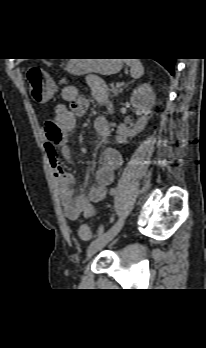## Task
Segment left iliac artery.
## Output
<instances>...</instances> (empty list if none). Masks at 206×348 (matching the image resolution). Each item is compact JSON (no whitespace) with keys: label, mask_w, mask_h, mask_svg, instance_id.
I'll use <instances>...</instances> for the list:
<instances>
[{"label":"left iliac artery","mask_w":206,"mask_h":348,"mask_svg":"<svg viewBox=\"0 0 206 348\" xmlns=\"http://www.w3.org/2000/svg\"><path fill=\"white\" fill-rule=\"evenodd\" d=\"M111 193L113 195H116L118 193V190L116 188H113ZM102 233H103V227H100L98 231V236L102 235Z\"/></svg>","instance_id":"44dca946"}]
</instances>
